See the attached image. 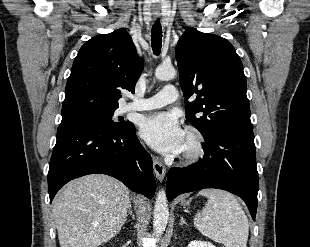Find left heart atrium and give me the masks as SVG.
Wrapping results in <instances>:
<instances>
[{
	"label": "left heart atrium",
	"instance_id": "left-heart-atrium-1",
	"mask_svg": "<svg viewBox=\"0 0 310 247\" xmlns=\"http://www.w3.org/2000/svg\"><path fill=\"white\" fill-rule=\"evenodd\" d=\"M141 136L156 150L176 154L182 150L185 133L174 114L159 112L145 119Z\"/></svg>",
	"mask_w": 310,
	"mask_h": 247
}]
</instances>
